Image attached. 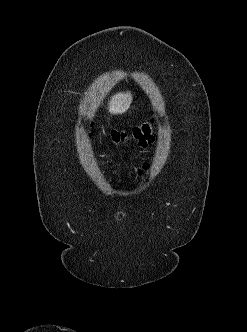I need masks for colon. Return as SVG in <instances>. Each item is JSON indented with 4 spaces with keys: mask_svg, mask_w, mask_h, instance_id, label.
<instances>
[{
    "mask_svg": "<svg viewBox=\"0 0 247 332\" xmlns=\"http://www.w3.org/2000/svg\"><path fill=\"white\" fill-rule=\"evenodd\" d=\"M127 134L124 132L113 131L111 134L114 142H119L126 138ZM132 137L138 142L141 147H146L153 141L152 124L150 122L143 123L136 126L132 131Z\"/></svg>",
    "mask_w": 247,
    "mask_h": 332,
    "instance_id": "obj_1",
    "label": "colon"
}]
</instances>
